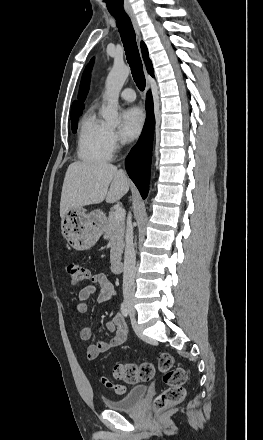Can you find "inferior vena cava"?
Returning <instances> with one entry per match:
<instances>
[{"label":"inferior vena cava","mask_w":263,"mask_h":440,"mask_svg":"<svg viewBox=\"0 0 263 440\" xmlns=\"http://www.w3.org/2000/svg\"><path fill=\"white\" fill-rule=\"evenodd\" d=\"M125 254L123 268V295L125 298H132L135 292L136 256L133 244V226L129 220L125 236Z\"/></svg>","instance_id":"1"}]
</instances>
